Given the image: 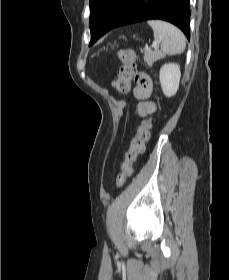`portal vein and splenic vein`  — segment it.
<instances>
[{
    "instance_id": "1",
    "label": "portal vein and splenic vein",
    "mask_w": 229,
    "mask_h": 280,
    "mask_svg": "<svg viewBox=\"0 0 229 280\" xmlns=\"http://www.w3.org/2000/svg\"><path fill=\"white\" fill-rule=\"evenodd\" d=\"M159 47V43L158 42H154L152 44V48L157 49Z\"/></svg>"
}]
</instances>
